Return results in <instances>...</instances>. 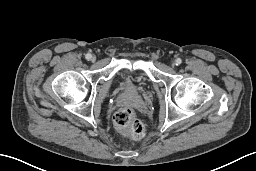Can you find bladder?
Listing matches in <instances>:
<instances>
[{"mask_svg":"<svg viewBox=\"0 0 256 171\" xmlns=\"http://www.w3.org/2000/svg\"><path fill=\"white\" fill-rule=\"evenodd\" d=\"M123 85L126 89L131 90L133 89V84L130 82V80L128 78H125ZM143 85L147 86V82L143 81Z\"/></svg>","mask_w":256,"mask_h":171,"instance_id":"31cf9c89","label":"bladder"}]
</instances>
